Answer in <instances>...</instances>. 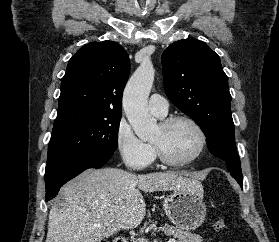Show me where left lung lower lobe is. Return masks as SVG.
Returning <instances> with one entry per match:
<instances>
[{"instance_id":"left-lung-lower-lobe-1","label":"left lung lower lobe","mask_w":279,"mask_h":242,"mask_svg":"<svg viewBox=\"0 0 279 242\" xmlns=\"http://www.w3.org/2000/svg\"><path fill=\"white\" fill-rule=\"evenodd\" d=\"M238 183H239V185L241 186V188H243V180H236Z\"/></svg>"}]
</instances>
